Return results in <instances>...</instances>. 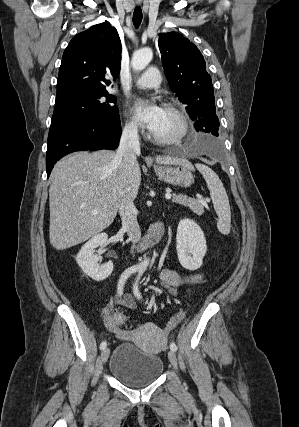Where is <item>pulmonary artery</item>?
Returning a JSON list of instances; mask_svg holds the SVG:
<instances>
[{"mask_svg": "<svg viewBox=\"0 0 299 427\" xmlns=\"http://www.w3.org/2000/svg\"><path fill=\"white\" fill-rule=\"evenodd\" d=\"M161 77L157 68L149 67L145 73L137 79L135 85L142 89H153L160 85Z\"/></svg>", "mask_w": 299, "mask_h": 427, "instance_id": "1", "label": "pulmonary artery"}]
</instances>
